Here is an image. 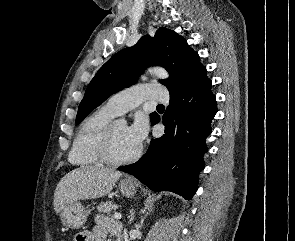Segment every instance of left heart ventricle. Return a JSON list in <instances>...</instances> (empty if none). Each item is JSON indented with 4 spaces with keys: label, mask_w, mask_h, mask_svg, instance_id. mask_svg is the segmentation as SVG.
Wrapping results in <instances>:
<instances>
[{
    "label": "left heart ventricle",
    "mask_w": 295,
    "mask_h": 241,
    "mask_svg": "<svg viewBox=\"0 0 295 241\" xmlns=\"http://www.w3.org/2000/svg\"><path fill=\"white\" fill-rule=\"evenodd\" d=\"M138 148L139 146L129 137L126 124L116 122L112 142V155L115 158H126L132 156Z\"/></svg>",
    "instance_id": "left-heart-ventricle-1"
}]
</instances>
